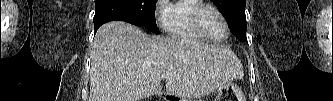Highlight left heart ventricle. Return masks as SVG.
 <instances>
[{
  "label": "left heart ventricle",
  "mask_w": 333,
  "mask_h": 101,
  "mask_svg": "<svg viewBox=\"0 0 333 101\" xmlns=\"http://www.w3.org/2000/svg\"><path fill=\"white\" fill-rule=\"evenodd\" d=\"M200 21L202 28L209 37L218 39L223 36L224 25L220 17L213 10L204 9L201 12Z\"/></svg>",
  "instance_id": "left-heart-ventricle-1"
}]
</instances>
